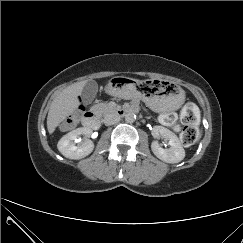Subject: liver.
I'll return each mask as SVG.
<instances>
[{"label": "liver", "mask_w": 243, "mask_h": 243, "mask_svg": "<svg viewBox=\"0 0 243 243\" xmlns=\"http://www.w3.org/2000/svg\"><path fill=\"white\" fill-rule=\"evenodd\" d=\"M86 83L87 81L74 83L55 97L47 116L49 134H52L56 127L77 109L79 106L78 96L82 93Z\"/></svg>", "instance_id": "1"}]
</instances>
